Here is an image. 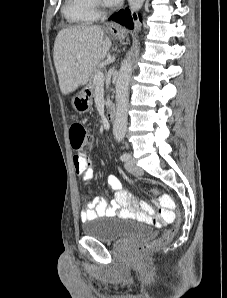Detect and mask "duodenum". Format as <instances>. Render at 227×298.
<instances>
[{
	"instance_id": "duodenum-1",
	"label": "duodenum",
	"mask_w": 227,
	"mask_h": 298,
	"mask_svg": "<svg viewBox=\"0 0 227 298\" xmlns=\"http://www.w3.org/2000/svg\"><path fill=\"white\" fill-rule=\"evenodd\" d=\"M117 113V108L115 104H110L107 108V118L109 121H113L115 119Z\"/></svg>"
}]
</instances>
